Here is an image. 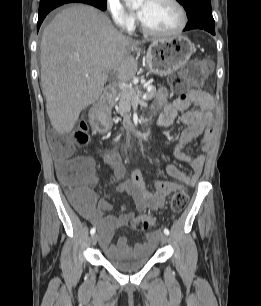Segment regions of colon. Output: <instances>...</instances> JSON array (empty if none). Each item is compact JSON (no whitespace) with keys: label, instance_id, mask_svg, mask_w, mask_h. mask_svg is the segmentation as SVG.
I'll list each match as a JSON object with an SVG mask.
<instances>
[{"label":"colon","instance_id":"5ec220e1","mask_svg":"<svg viewBox=\"0 0 261 306\" xmlns=\"http://www.w3.org/2000/svg\"><path fill=\"white\" fill-rule=\"evenodd\" d=\"M209 70L210 65L207 62L194 60L179 73L174 74L170 81L180 98L186 100L202 86ZM93 113L103 124L107 123L106 108L95 109ZM89 137V125L86 121H82L72 134H57L51 141L55 157L58 160L68 162L58 170L59 177L65 185L74 189L77 199L86 194L85 183L88 180L89 167L82 157L73 158L72 155L77 147L83 146L89 141ZM188 200L189 197L185 191H176L171 198V209L175 213L182 212ZM154 224V218L148 214L138 215L132 220L133 228L140 231H147L154 227Z\"/></svg>","mask_w":261,"mask_h":306}]
</instances>
